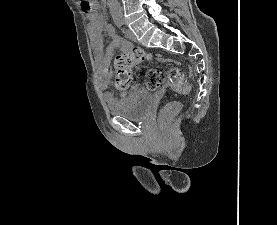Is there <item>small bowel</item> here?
Returning a JSON list of instances; mask_svg holds the SVG:
<instances>
[{
    "label": "small bowel",
    "mask_w": 277,
    "mask_h": 225,
    "mask_svg": "<svg viewBox=\"0 0 277 225\" xmlns=\"http://www.w3.org/2000/svg\"><path fill=\"white\" fill-rule=\"evenodd\" d=\"M89 19V33L91 36V44L96 61L101 67V71L106 73L108 70V65L116 49L122 48L127 49L129 46L126 44L115 32L112 25H107L105 30L111 38V43L102 51V40H103V28L102 22L95 14H88ZM137 87V86H135ZM105 98L107 100L112 99V95L107 90L105 91Z\"/></svg>",
    "instance_id": "c3829d8e"
}]
</instances>
